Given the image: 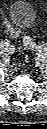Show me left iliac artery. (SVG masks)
<instances>
[{"label":"left iliac artery","mask_w":47,"mask_h":129,"mask_svg":"<svg viewBox=\"0 0 47 129\" xmlns=\"http://www.w3.org/2000/svg\"><path fill=\"white\" fill-rule=\"evenodd\" d=\"M31 46L34 48H38V49H42L44 51H47V47L45 45H42V46H38L36 45V43L32 42Z\"/></svg>","instance_id":"obj_1"}]
</instances>
